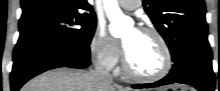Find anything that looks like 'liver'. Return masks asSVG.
I'll return each instance as SVG.
<instances>
[{
    "instance_id": "6515ba94",
    "label": "liver",
    "mask_w": 220,
    "mask_h": 91,
    "mask_svg": "<svg viewBox=\"0 0 220 91\" xmlns=\"http://www.w3.org/2000/svg\"><path fill=\"white\" fill-rule=\"evenodd\" d=\"M21 91H132L98 80L92 72L61 67L27 82Z\"/></svg>"
}]
</instances>
